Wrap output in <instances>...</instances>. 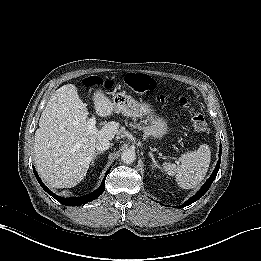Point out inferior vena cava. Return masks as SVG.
Returning a JSON list of instances; mask_svg holds the SVG:
<instances>
[{
	"label": "inferior vena cava",
	"mask_w": 261,
	"mask_h": 261,
	"mask_svg": "<svg viewBox=\"0 0 261 261\" xmlns=\"http://www.w3.org/2000/svg\"><path fill=\"white\" fill-rule=\"evenodd\" d=\"M111 146V143L106 138H100L97 143L95 144V149L97 151H106Z\"/></svg>",
	"instance_id": "obj_1"
}]
</instances>
